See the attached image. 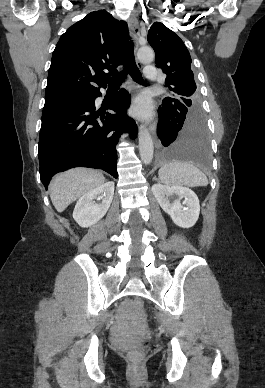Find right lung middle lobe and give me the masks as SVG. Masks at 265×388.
I'll list each match as a JSON object with an SVG mask.
<instances>
[{"instance_id": "right-lung-middle-lobe-1", "label": "right lung middle lobe", "mask_w": 265, "mask_h": 388, "mask_svg": "<svg viewBox=\"0 0 265 388\" xmlns=\"http://www.w3.org/2000/svg\"><path fill=\"white\" fill-rule=\"evenodd\" d=\"M79 97H81V96L65 97V98H56V99L45 100V105L43 107V110L51 108V107H54V106H56L58 104L70 101L72 99L79 98Z\"/></svg>"}]
</instances>
